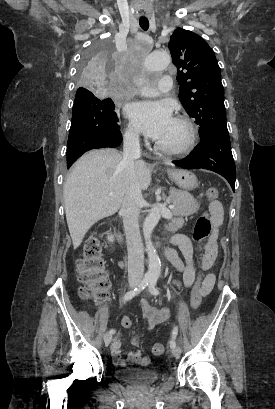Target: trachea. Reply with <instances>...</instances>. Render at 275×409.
<instances>
[{
	"mask_svg": "<svg viewBox=\"0 0 275 409\" xmlns=\"http://www.w3.org/2000/svg\"><path fill=\"white\" fill-rule=\"evenodd\" d=\"M139 24H140V27L143 29V30H148V28H149V21L147 20V19H140L139 20Z\"/></svg>",
	"mask_w": 275,
	"mask_h": 409,
	"instance_id": "3493384b",
	"label": "trachea"
}]
</instances>
